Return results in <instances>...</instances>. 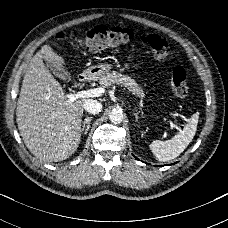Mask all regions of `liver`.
I'll return each mask as SVG.
<instances>
[{
    "mask_svg": "<svg viewBox=\"0 0 228 228\" xmlns=\"http://www.w3.org/2000/svg\"><path fill=\"white\" fill-rule=\"evenodd\" d=\"M44 60L66 68L46 44L31 60L19 93L16 121L28 150L46 163L63 161L78 149L85 99L70 102Z\"/></svg>",
    "mask_w": 228,
    "mask_h": 228,
    "instance_id": "obj_1",
    "label": "liver"
}]
</instances>
